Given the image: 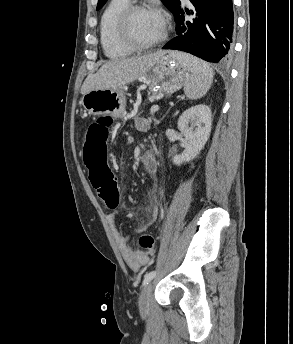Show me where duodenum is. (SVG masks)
Here are the masks:
<instances>
[{"label":"duodenum","mask_w":293,"mask_h":344,"mask_svg":"<svg viewBox=\"0 0 293 344\" xmlns=\"http://www.w3.org/2000/svg\"><path fill=\"white\" fill-rule=\"evenodd\" d=\"M154 158L151 152H146L143 154L141 158V163L145 165L146 167H149L151 163L153 162Z\"/></svg>","instance_id":"obj_1"}]
</instances>
